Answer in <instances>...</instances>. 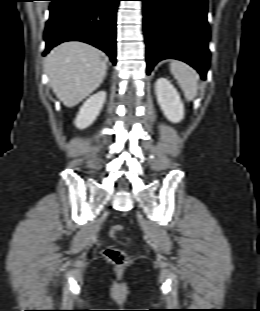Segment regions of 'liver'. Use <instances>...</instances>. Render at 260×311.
Segmentation results:
<instances>
[{
  "label": "liver",
  "mask_w": 260,
  "mask_h": 311,
  "mask_svg": "<svg viewBox=\"0 0 260 311\" xmlns=\"http://www.w3.org/2000/svg\"><path fill=\"white\" fill-rule=\"evenodd\" d=\"M103 53L82 42H66L54 48L45 58V70L57 98L73 107L102 83L106 71Z\"/></svg>",
  "instance_id": "liver-1"
}]
</instances>
